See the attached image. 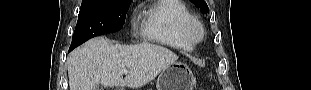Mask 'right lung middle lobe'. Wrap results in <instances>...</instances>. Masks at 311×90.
Here are the masks:
<instances>
[{
	"label": "right lung middle lobe",
	"instance_id": "obj_1",
	"mask_svg": "<svg viewBox=\"0 0 311 90\" xmlns=\"http://www.w3.org/2000/svg\"><path fill=\"white\" fill-rule=\"evenodd\" d=\"M131 0H83L71 48L95 36L122 29Z\"/></svg>",
	"mask_w": 311,
	"mask_h": 90
}]
</instances>
